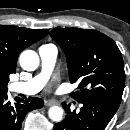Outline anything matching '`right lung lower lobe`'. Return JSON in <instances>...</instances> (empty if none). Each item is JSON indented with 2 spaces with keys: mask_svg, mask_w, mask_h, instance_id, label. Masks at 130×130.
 Instances as JSON below:
<instances>
[{
  "mask_svg": "<svg viewBox=\"0 0 130 130\" xmlns=\"http://www.w3.org/2000/svg\"><path fill=\"white\" fill-rule=\"evenodd\" d=\"M16 104L8 100L7 92H0V130H21L26 114L43 107L41 98H29L24 101L19 98Z\"/></svg>",
  "mask_w": 130,
  "mask_h": 130,
  "instance_id": "98d812e1",
  "label": "right lung lower lobe"
}]
</instances>
